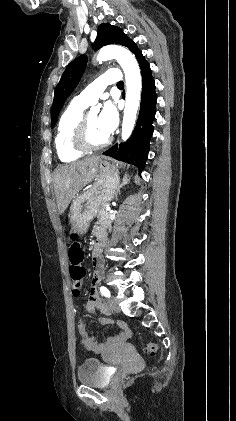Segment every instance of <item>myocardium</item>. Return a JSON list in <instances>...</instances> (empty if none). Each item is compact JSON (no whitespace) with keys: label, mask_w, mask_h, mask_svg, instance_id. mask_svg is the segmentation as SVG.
<instances>
[{"label":"myocardium","mask_w":236,"mask_h":421,"mask_svg":"<svg viewBox=\"0 0 236 421\" xmlns=\"http://www.w3.org/2000/svg\"><path fill=\"white\" fill-rule=\"evenodd\" d=\"M87 118L88 114H82V116L76 122L71 135V140L74 147L82 153H88L103 149L104 147L108 146L111 142V136L108 135L106 140L100 144L89 143L86 137Z\"/></svg>","instance_id":"f54148a6"}]
</instances>
